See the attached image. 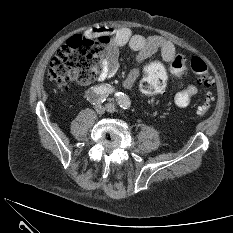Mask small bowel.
Returning <instances> with one entry per match:
<instances>
[{
  "label": "small bowel",
  "instance_id": "1",
  "mask_svg": "<svg viewBox=\"0 0 233 233\" xmlns=\"http://www.w3.org/2000/svg\"><path fill=\"white\" fill-rule=\"evenodd\" d=\"M90 34H105L111 37L106 58L100 67L98 75L99 81H104L116 73L118 69V52L124 46H128L137 53V60L140 63L148 61L155 53L159 52L164 62L169 64L176 55L175 46L165 38L161 36L145 37L133 33L129 28H99L90 31ZM138 77V70L130 71L123 81V86L125 88H131ZM197 92V86L195 84H189L175 95V105L179 108L188 106Z\"/></svg>",
  "mask_w": 233,
  "mask_h": 233
}]
</instances>
